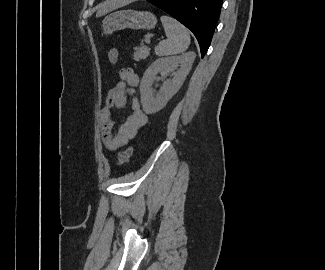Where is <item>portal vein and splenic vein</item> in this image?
Returning <instances> with one entry per match:
<instances>
[{"label":"portal vein and splenic vein","mask_w":325,"mask_h":270,"mask_svg":"<svg viewBox=\"0 0 325 270\" xmlns=\"http://www.w3.org/2000/svg\"><path fill=\"white\" fill-rule=\"evenodd\" d=\"M146 43H150V39H146Z\"/></svg>","instance_id":"obj_1"}]
</instances>
